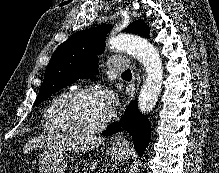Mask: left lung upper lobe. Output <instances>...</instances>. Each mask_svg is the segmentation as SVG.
<instances>
[{
	"label": "left lung upper lobe",
	"instance_id": "left-lung-upper-lobe-1",
	"mask_svg": "<svg viewBox=\"0 0 219 173\" xmlns=\"http://www.w3.org/2000/svg\"><path fill=\"white\" fill-rule=\"evenodd\" d=\"M111 28L104 24L80 31L58 46L47 65L34 106L73 81L89 78L97 72V55L104 51ZM124 32L149 37V27L141 20L132 22Z\"/></svg>",
	"mask_w": 219,
	"mask_h": 173
}]
</instances>
